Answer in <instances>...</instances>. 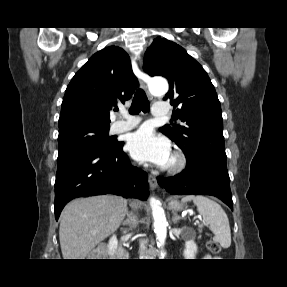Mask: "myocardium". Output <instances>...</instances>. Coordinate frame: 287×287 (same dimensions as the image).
<instances>
[{"instance_id":"obj_1","label":"myocardium","mask_w":287,"mask_h":287,"mask_svg":"<svg viewBox=\"0 0 287 287\" xmlns=\"http://www.w3.org/2000/svg\"><path fill=\"white\" fill-rule=\"evenodd\" d=\"M187 165V159L182 152L175 151L167 164V171L171 174L182 172Z\"/></svg>"}]
</instances>
